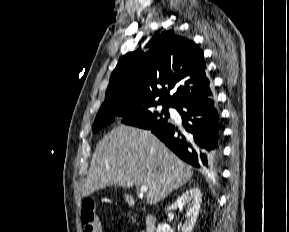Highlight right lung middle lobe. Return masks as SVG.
Listing matches in <instances>:
<instances>
[{"instance_id":"right-lung-middle-lobe-1","label":"right lung middle lobe","mask_w":289,"mask_h":232,"mask_svg":"<svg viewBox=\"0 0 289 232\" xmlns=\"http://www.w3.org/2000/svg\"><path fill=\"white\" fill-rule=\"evenodd\" d=\"M160 103L144 101L133 97H113L106 99L100 107L93 125V132H97L104 126L112 123L117 116H123V122L127 125L143 129L167 123L166 117L168 106L163 105L161 112L155 111L154 107Z\"/></svg>"}]
</instances>
